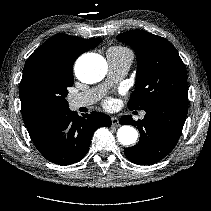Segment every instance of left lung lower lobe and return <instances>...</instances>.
<instances>
[{
  "label": "left lung lower lobe",
  "mask_w": 211,
  "mask_h": 211,
  "mask_svg": "<svg viewBox=\"0 0 211 211\" xmlns=\"http://www.w3.org/2000/svg\"><path fill=\"white\" fill-rule=\"evenodd\" d=\"M185 98H168L153 102L144 110L143 120L122 116L120 123L137 126L138 144L124 150L125 156L138 165H152L166 157L177 144L188 111Z\"/></svg>",
  "instance_id": "0a47b994"
}]
</instances>
